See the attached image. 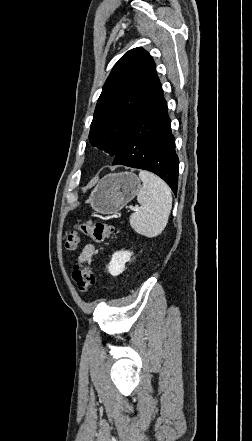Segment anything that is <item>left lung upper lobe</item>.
<instances>
[{
    "instance_id": "5c2ea615",
    "label": "left lung upper lobe",
    "mask_w": 252,
    "mask_h": 441,
    "mask_svg": "<svg viewBox=\"0 0 252 441\" xmlns=\"http://www.w3.org/2000/svg\"><path fill=\"white\" fill-rule=\"evenodd\" d=\"M156 76L155 63L142 48L128 51L117 61L94 112L89 133L93 146L116 155Z\"/></svg>"
}]
</instances>
